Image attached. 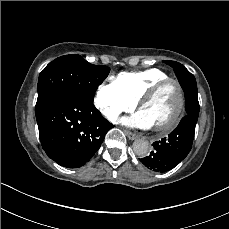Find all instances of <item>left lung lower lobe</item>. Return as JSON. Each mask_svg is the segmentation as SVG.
Segmentation results:
<instances>
[{"label":"left lung lower lobe","instance_id":"left-lung-lower-lobe-1","mask_svg":"<svg viewBox=\"0 0 229 229\" xmlns=\"http://www.w3.org/2000/svg\"><path fill=\"white\" fill-rule=\"evenodd\" d=\"M186 115L178 126L161 141L153 143L154 151L141 162L154 172H166L178 165L190 152L199 115L197 85L183 89Z\"/></svg>","mask_w":229,"mask_h":229}]
</instances>
